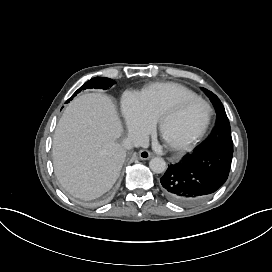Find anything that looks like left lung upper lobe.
Listing matches in <instances>:
<instances>
[{"label":"left lung upper lobe","instance_id":"left-lung-upper-lobe-1","mask_svg":"<svg viewBox=\"0 0 272 272\" xmlns=\"http://www.w3.org/2000/svg\"><path fill=\"white\" fill-rule=\"evenodd\" d=\"M203 90L210 98L211 102L215 107L217 113V120L216 126L211 136L198 150L222 149L233 152L230 123L226 115L225 109L219 98L214 93L208 91L205 88Z\"/></svg>","mask_w":272,"mask_h":272}]
</instances>
